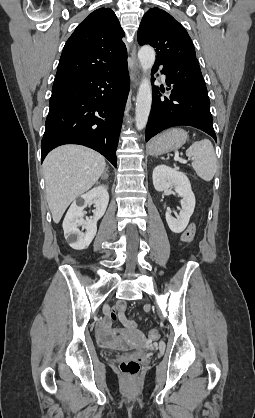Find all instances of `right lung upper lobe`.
<instances>
[{
	"mask_svg": "<svg viewBox=\"0 0 255 418\" xmlns=\"http://www.w3.org/2000/svg\"><path fill=\"white\" fill-rule=\"evenodd\" d=\"M124 31L110 8L92 12L67 40L55 80L108 71L127 63Z\"/></svg>",
	"mask_w": 255,
	"mask_h": 418,
	"instance_id": "cb5924a9",
	"label": "right lung upper lobe"
}]
</instances>
